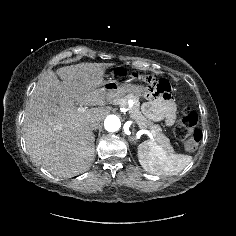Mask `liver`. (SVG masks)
I'll return each mask as SVG.
<instances>
[{
    "mask_svg": "<svg viewBox=\"0 0 236 236\" xmlns=\"http://www.w3.org/2000/svg\"><path fill=\"white\" fill-rule=\"evenodd\" d=\"M112 63H80L45 72L27 103L24 138L31 158L53 175L69 177L88 170L94 159L92 120L110 109L102 88ZM59 78L62 80L60 81ZM76 104L98 106L79 112Z\"/></svg>",
    "mask_w": 236,
    "mask_h": 236,
    "instance_id": "1",
    "label": "liver"
}]
</instances>
